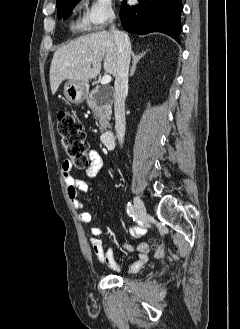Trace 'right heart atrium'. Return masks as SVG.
<instances>
[{"label":"right heart atrium","instance_id":"obj_1","mask_svg":"<svg viewBox=\"0 0 240 329\" xmlns=\"http://www.w3.org/2000/svg\"><path fill=\"white\" fill-rule=\"evenodd\" d=\"M115 19L112 0H91L83 24L91 30H101Z\"/></svg>","mask_w":240,"mask_h":329}]
</instances>
